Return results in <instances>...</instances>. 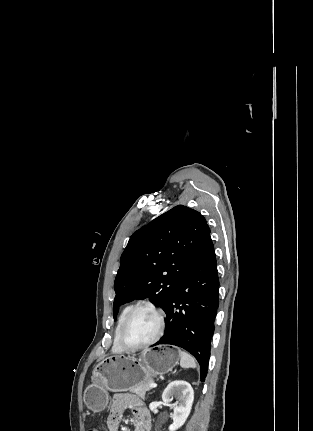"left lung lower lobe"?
Here are the masks:
<instances>
[{
	"mask_svg": "<svg viewBox=\"0 0 313 431\" xmlns=\"http://www.w3.org/2000/svg\"><path fill=\"white\" fill-rule=\"evenodd\" d=\"M218 296L217 262L210 238L164 310L165 334L154 344L175 345L190 352L200 364L202 382L207 375Z\"/></svg>",
	"mask_w": 313,
	"mask_h": 431,
	"instance_id": "obj_1",
	"label": "left lung lower lobe"
}]
</instances>
